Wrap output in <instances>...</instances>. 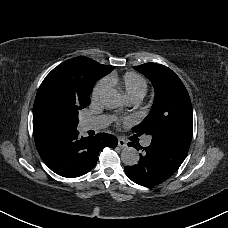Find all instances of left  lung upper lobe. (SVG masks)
I'll list each match as a JSON object with an SVG mask.
<instances>
[{
  "instance_id": "obj_1",
  "label": "left lung upper lobe",
  "mask_w": 228,
  "mask_h": 228,
  "mask_svg": "<svg viewBox=\"0 0 228 228\" xmlns=\"http://www.w3.org/2000/svg\"><path fill=\"white\" fill-rule=\"evenodd\" d=\"M134 69L153 84L155 99L148 116L132 131L159 136L190 145L193 133V113L189 94L180 78L161 64L145 63Z\"/></svg>"
}]
</instances>
